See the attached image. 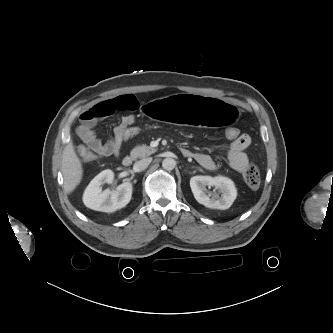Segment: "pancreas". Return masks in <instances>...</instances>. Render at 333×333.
<instances>
[{
	"mask_svg": "<svg viewBox=\"0 0 333 333\" xmlns=\"http://www.w3.org/2000/svg\"><path fill=\"white\" fill-rule=\"evenodd\" d=\"M157 150L155 148H152L150 146L142 145V146H136L131 151V156L133 158H145L153 153H155Z\"/></svg>",
	"mask_w": 333,
	"mask_h": 333,
	"instance_id": "pancreas-1",
	"label": "pancreas"
}]
</instances>
